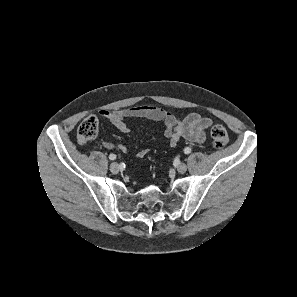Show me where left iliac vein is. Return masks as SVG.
Wrapping results in <instances>:
<instances>
[{"mask_svg": "<svg viewBox=\"0 0 297 297\" xmlns=\"http://www.w3.org/2000/svg\"><path fill=\"white\" fill-rule=\"evenodd\" d=\"M176 168L179 173H185L187 171V165L185 163H178Z\"/></svg>", "mask_w": 297, "mask_h": 297, "instance_id": "left-iliac-vein-1", "label": "left iliac vein"}]
</instances>
